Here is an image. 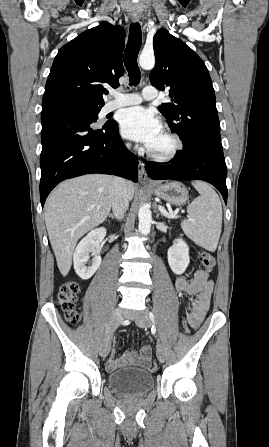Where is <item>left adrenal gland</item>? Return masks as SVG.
Listing matches in <instances>:
<instances>
[{
    "label": "left adrenal gland",
    "instance_id": "left-adrenal-gland-1",
    "mask_svg": "<svg viewBox=\"0 0 269 447\" xmlns=\"http://www.w3.org/2000/svg\"><path fill=\"white\" fill-rule=\"evenodd\" d=\"M155 214H156V218H159L160 214H159V212H158V208H156V212H155Z\"/></svg>",
    "mask_w": 269,
    "mask_h": 447
}]
</instances>
